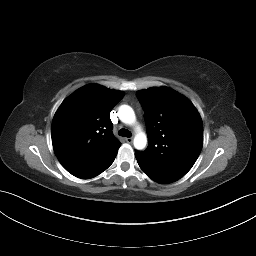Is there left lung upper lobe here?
<instances>
[{
	"label": "left lung upper lobe",
	"mask_w": 256,
	"mask_h": 256,
	"mask_svg": "<svg viewBox=\"0 0 256 256\" xmlns=\"http://www.w3.org/2000/svg\"><path fill=\"white\" fill-rule=\"evenodd\" d=\"M144 111L149 145L137 152L152 172L179 179L194 165L203 146V124L194 105L167 87L136 93Z\"/></svg>",
	"instance_id": "1"
}]
</instances>
